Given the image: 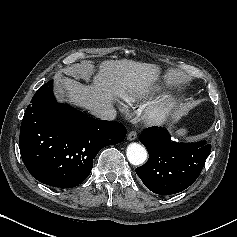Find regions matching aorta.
<instances>
[{"instance_id": "obj_1", "label": "aorta", "mask_w": 237, "mask_h": 237, "mask_svg": "<svg viewBox=\"0 0 237 237\" xmlns=\"http://www.w3.org/2000/svg\"><path fill=\"white\" fill-rule=\"evenodd\" d=\"M126 155L132 165L139 166L145 162L147 151L141 144L131 143L127 147Z\"/></svg>"}]
</instances>
